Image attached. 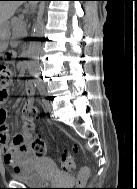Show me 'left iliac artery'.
<instances>
[{"label":"left iliac artery","instance_id":"1","mask_svg":"<svg viewBox=\"0 0 137 189\" xmlns=\"http://www.w3.org/2000/svg\"><path fill=\"white\" fill-rule=\"evenodd\" d=\"M40 92H41V95H42V96H46V92H45L44 89H41Z\"/></svg>","mask_w":137,"mask_h":189}]
</instances>
